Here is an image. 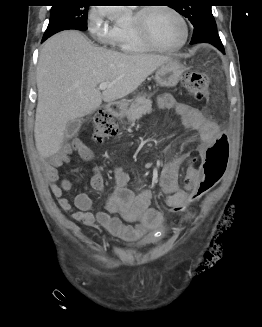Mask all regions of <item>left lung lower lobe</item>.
Masks as SVG:
<instances>
[{"instance_id": "0a47b994", "label": "left lung lower lobe", "mask_w": 262, "mask_h": 327, "mask_svg": "<svg viewBox=\"0 0 262 327\" xmlns=\"http://www.w3.org/2000/svg\"><path fill=\"white\" fill-rule=\"evenodd\" d=\"M210 43L225 54L224 46L217 32L216 22L213 18L206 19L200 24L193 33L191 44L195 43Z\"/></svg>"}]
</instances>
